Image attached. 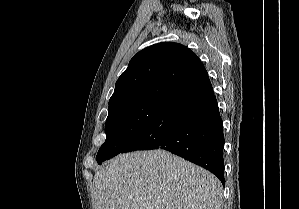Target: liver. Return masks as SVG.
Returning <instances> with one entry per match:
<instances>
[{"instance_id": "liver-1", "label": "liver", "mask_w": 299, "mask_h": 209, "mask_svg": "<svg viewBox=\"0 0 299 209\" xmlns=\"http://www.w3.org/2000/svg\"><path fill=\"white\" fill-rule=\"evenodd\" d=\"M95 209H222L221 182L166 150L120 154L93 179Z\"/></svg>"}]
</instances>
